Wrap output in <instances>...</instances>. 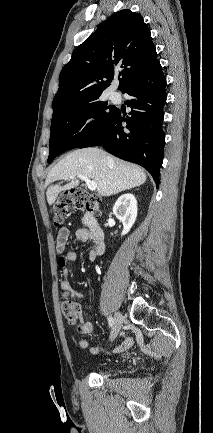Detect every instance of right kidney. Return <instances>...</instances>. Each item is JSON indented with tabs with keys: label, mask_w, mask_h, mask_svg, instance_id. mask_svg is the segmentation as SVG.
Wrapping results in <instances>:
<instances>
[{
	"label": "right kidney",
	"mask_w": 213,
	"mask_h": 433,
	"mask_svg": "<svg viewBox=\"0 0 213 433\" xmlns=\"http://www.w3.org/2000/svg\"><path fill=\"white\" fill-rule=\"evenodd\" d=\"M113 214L123 224L121 235L127 234L137 217V200L133 194H124L118 198L113 206Z\"/></svg>",
	"instance_id": "ca27d5eb"
}]
</instances>
